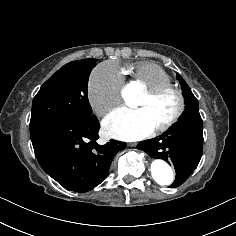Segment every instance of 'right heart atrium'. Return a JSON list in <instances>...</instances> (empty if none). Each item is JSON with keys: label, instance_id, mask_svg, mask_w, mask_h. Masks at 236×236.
<instances>
[{"label": "right heart atrium", "instance_id": "right-heart-atrium-1", "mask_svg": "<svg viewBox=\"0 0 236 236\" xmlns=\"http://www.w3.org/2000/svg\"><path fill=\"white\" fill-rule=\"evenodd\" d=\"M122 83L120 72L112 65L103 63L91 72L88 80V99L97 116L105 115L118 104Z\"/></svg>", "mask_w": 236, "mask_h": 236}]
</instances>
